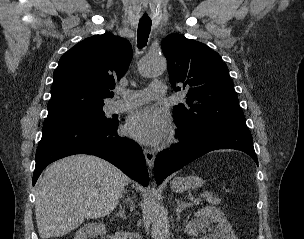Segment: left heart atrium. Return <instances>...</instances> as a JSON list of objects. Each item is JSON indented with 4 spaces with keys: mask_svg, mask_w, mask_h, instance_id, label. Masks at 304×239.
I'll list each match as a JSON object with an SVG mask.
<instances>
[{
    "mask_svg": "<svg viewBox=\"0 0 304 239\" xmlns=\"http://www.w3.org/2000/svg\"><path fill=\"white\" fill-rule=\"evenodd\" d=\"M126 132L133 139L156 145L170 132L167 115L154 108H142L132 113L125 125Z\"/></svg>",
    "mask_w": 304,
    "mask_h": 239,
    "instance_id": "39dd6f15",
    "label": "left heart atrium"
}]
</instances>
